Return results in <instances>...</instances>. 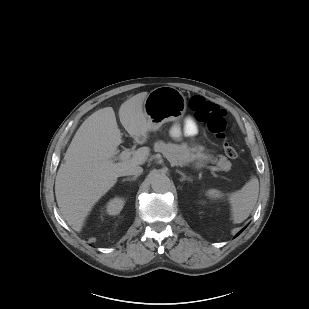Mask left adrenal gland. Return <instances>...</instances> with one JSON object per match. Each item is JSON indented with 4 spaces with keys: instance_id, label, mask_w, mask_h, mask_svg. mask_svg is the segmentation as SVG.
<instances>
[{
    "instance_id": "a2214340",
    "label": "left adrenal gland",
    "mask_w": 309,
    "mask_h": 309,
    "mask_svg": "<svg viewBox=\"0 0 309 309\" xmlns=\"http://www.w3.org/2000/svg\"><path fill=\"white\" fill-rule=\"evenodd\" d=\"M176 172L179 173V174L182 176V178L180 179V181H185V180L192 181V180L190 179V177H187L183 172H181V171H179V170H176Z\"/></svg>"
}]
</instances>
